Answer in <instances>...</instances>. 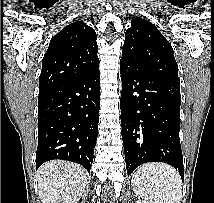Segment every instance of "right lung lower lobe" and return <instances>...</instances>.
Listing matches in <instances>:
<instances>
[{
  "mask_svg": "<svg viewBox=\"0 0 214 203\" xmlns=\"http://www.w3.org/2000/svg\"><path fill=\"white\" fill-rule=\"evenodd\" d=\"M99 68L38 96L36 169L54 159L81 164L90 171L98 135Z\"/></svg>",
  "mask_w": 214,
  "mask_h": 203,
  "instance_id": "right-lung-lower-lobe-1",
  "label": "right lung lower lobe"
}]
</instances>
